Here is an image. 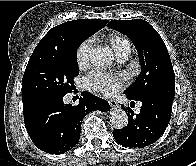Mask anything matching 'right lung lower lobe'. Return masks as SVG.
Instances as JSON below:
<instances>
[{"label":"right lung lower lobe","mask_w":196,"mask_h":166,"mask_svg":"<svg viewBox=\"0 0 196 166\" xmlns=\"http://www.w3.org/2000/svg\"><path fill=\"white\" fill-rule=\"evenodd\" d=\"M64 96L23 97L24 123L32 142L40 150L61 154L72 149L80 138L81 123L93 110L109 111L106 100L83 92L79 104H64Z\"/></svg>","instance_id":"right-lung-lower-lobe-1"}]
</instances>
